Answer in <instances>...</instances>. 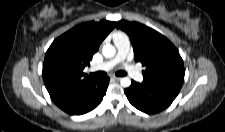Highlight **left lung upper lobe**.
<instances>
[{"instance_id":"left-lung-upper-lobe-1","label":"left lung upper lobe","mask_w":225,"mask_h":132,"mask_svg":"<svg viewBox=\"0 0 225 132\" xmlns=\"http://www.w3.org/2000/svg\"><path fill=\"white\" fill-rule=\"evenodd\" d=\"M116 26L129 35L134 59L145 67L143 83L181 89L185 74L183 60L165 36L138 22L120 20Z\"/></svg>"}]
</instances>
